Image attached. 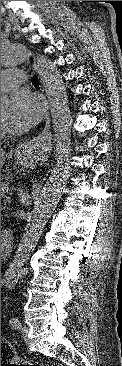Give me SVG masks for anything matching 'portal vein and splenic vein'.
I'll return each mask as SVG.
<instances>
[{"instance_id":"obj_1","label":"portal vein and splenic vein","mask_w":122,"mask_h":366,"mask_svg":"<svg viewBox=\"0 0 122 366\" xmlns=\"http://www.w3.org/2000/svg\"><path fill=\"white\" fill-rule=\"evenodd\" d=\"M5 200H6V201H9V200H11V197H10V196H7V197L5 198Z\"/></svg>"}]
</instances>
